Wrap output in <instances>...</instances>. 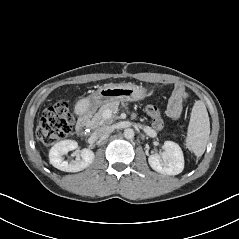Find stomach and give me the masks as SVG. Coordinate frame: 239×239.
I'll list each match as a JSON object with an SVG mask.
<instances>
[{"instance_id":"obj_1","label":"stomach","mask_w":239,"mask_h":239,"mask_svg":"<svg viewBox=\"0 0 239 239\" xmlns=\"http://www.w3.org/2000/svg\"><path fill=\"white\" fill-rule=\"evenodd\" d=\"M147 90L132 83L107 84L98 88L90 97L92 108L96 109L102 104L114 101L134 102L143 100Z\"/></svg>"}]
</instances>
